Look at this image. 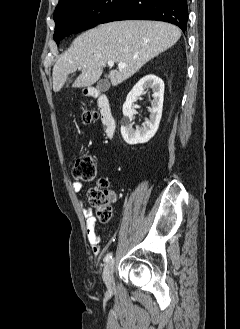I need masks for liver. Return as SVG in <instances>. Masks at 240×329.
Masks as SVG:
<instances>
[{"mask_svg":"<svg viewBox=\"0 0 240 329\" xmlns=\"http://www.w3.org/2000/svg\"><path fill=\"white\" fill-rule=\"evenodd\" d=\"M181 37L174 25L158 21H117L101 24L79 35L53 67V90L58 92L77 69L81 71L73 87H89L101 76L108 61L127 66L111 70L109 78L117 86L134 75Z\"/></svg>","mask_w":240,"mask_h":329,"instance_id":"1","label":"liver"}]
</instances>
